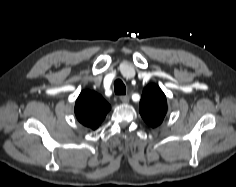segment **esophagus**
I'll return each mask as SVG.
<instances>
[{
  "mask_svg": "<svg viewBox=\"0 0 236 187\" xmlns=\"http://www.w3.org/2000/svg\"><path fill=\"white\" fill-rule=\"evenodd\" d=\"M120 100L122 101V103L127 104V103H129L130 98L127 95H122V96H120Z\"/></svg>",
  "mask_w": 236,
  "mask_h": 187,
  "instance_id": "1",
  "label": "esophagus"
}]
</instances>
